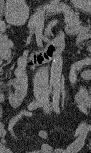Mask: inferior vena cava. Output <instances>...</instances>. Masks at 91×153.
<instances>
[{
  "label": "inferior vena cava",
  "instance_id": "1",
  "mask_svg": "<svg viewBox=\"0 0 91 153\" xmlns=\"http://www.w3.org/2000/svg\"><path fill=\"white\" fill-rule=\"evenodd\" d=\"M45 65V64H42ZM48 86V71L46 69H40L34 77V91L45 93Z\"/></svg>",
  "mask_w": 91,
  "mask_h": 153
}]
</instances>
